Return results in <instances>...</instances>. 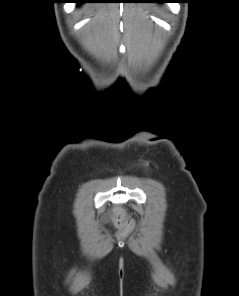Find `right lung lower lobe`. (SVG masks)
Listing matches in <instances>:
<instances>
[{"label":"right lung lower lobe","instance_id":"right-lung-lower-lobe-1","mask_svg":"<svg viewBox=\"0 0 239 296\" xmlns=\"http://www.w3.org/2000/svg\"><path fill=\"white\" fill-rule=\"evenodd\" d=\"M90 0H71L73 3H88Z\"/></svg>","mask_w":239,"mask_h":296}]
</instances>
